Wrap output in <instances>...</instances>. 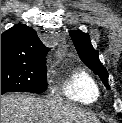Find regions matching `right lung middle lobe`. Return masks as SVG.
<instances>
[{"label":"right lung middle lobe","instance_id":"dd1d6c3e","mask_svg":"<svg viewBox=\"0 0 122 123\" xmlns=\"http://www.w3.org/2000/svg\"><path fill=\"white\" fill-rule=\"evenodd\" d=\"M46 60L1 57V94L46 91Z\"/></svg>","mask_w":122,"mask_h":123}]
</instances>
